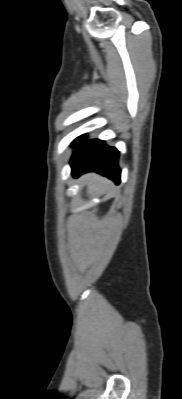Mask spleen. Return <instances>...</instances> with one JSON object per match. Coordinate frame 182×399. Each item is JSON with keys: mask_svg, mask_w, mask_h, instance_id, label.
I'll list each match as a JSON object with an SVG mask.
<instances>
[{"mask_svg": "<svg viewBox=\"0 0 182 399\" xmlns=\"http://www.w3.org/2000/svg\"><path fill=\"white\" fill-rule=\"evenodd\" d=\"M89 183L91 187L99 194H102L105 191V182L103 180L92 177L89 178Z\"/></svg>", "mask_w": 182, "mask_h": 399, "instance_id": "spleen-1", "label": "spleen"}]
</instances>
